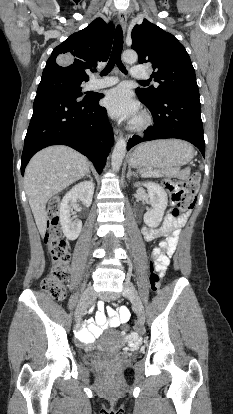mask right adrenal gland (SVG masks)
<instances>
[{
    "instance_id": "right-adrenal-gland-1",
    "label": "right adrenal gland",
    "mask_w": 233,
    "mask_h": 414,
    "mask_svg": "<svg viewBox=\"0 0 233 414\" xmlns=\"http://www.w3.org/2000/svg\"><path fill=\"white\" fill-rule=\"evenodd\" d=\"M86 177H88L91 181H93L92 177L90 176V171L86 174Z\"/></svg>"
}]
</instances>
